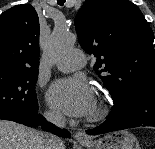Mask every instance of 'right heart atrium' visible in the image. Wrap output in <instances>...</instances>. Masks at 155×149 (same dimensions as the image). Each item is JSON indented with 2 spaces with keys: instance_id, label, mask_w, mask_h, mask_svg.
Returning <instances> with one entry per match:
<instances>
[{
  "instance_id": "obj_1",
  "label": "right heart atrium",
  "mask_w": 155,
  "mask_h": 149,
  "mask_svg": "<svg viewBox=\"0 0 155 149\" xmlns=\"http://www.w3.org/2000/svg\"><path fill=\"white\" fill-rule=\"evenodd\" d=\"M45 117L53 123H62L64 121L63 115L54 109H49L45 112Z\"/></svg>"
}]
</instances>
